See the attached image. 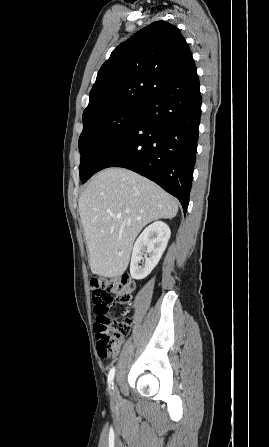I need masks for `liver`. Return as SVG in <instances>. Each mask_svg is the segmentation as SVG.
Listing matches in <instances>:
<instances>
[{
  "mask_svg": "<svg viewBox=\"0 0 269 447\" xmlns=\"http://www.w3.org/2000/svg\"><path fill=\"white\" fill-rule=\"evenodd\" d=\"M79 214L93 273L117 277L124 273L135 237L144 225L175 218L178 204L154 182L124 168L96 174L82 192ZM114 216H121L115 220Z\"/></svg>",
  "mask_w": 269,
  "mask_h": 447,
  "instance_id": "obj_1",
  "label": "liver"
}]
</instances>
